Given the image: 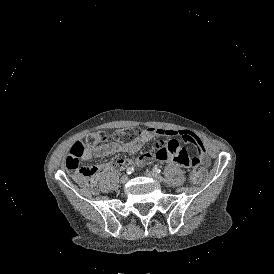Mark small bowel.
Here are the masks:
<instances>
[{"label": "small bowel", "mask_w": 274, "mask_h": 274, "mask_svg": "<svg viewBox=\"0 0 274 274\" xmlns=\"http://www.w3.org/2000/svg\"><path fill=\"white\" fill-rule=\"evenodd\" d=\"M158 137H178L183 142L192 144L196 148V158L185 159L183 166L185 168H195L198 162L208 164L205 156V145L203 141L193 132L187 130H171L160 127L144 128L140 135L131 143L124 144L120 142H108L96 145L92 149L84 151L82 158L90 160L93 157H103L120 152L135 153L142 148L143 145L155 140ZM182 152V145L177 139H158L152 145L151 153L142 151L139 153L135 161V166L139 170H145L149 167L151 160L159 162L161 160H169L172 165H177V158ZM133 162L128 159L119 158L113 162H108L97 166L96 173L103 174L113 169H124ZM75 178L80 179L78 175Z\"/></svg>", "instance_id": "small-bowel-1"}]
</instances>
